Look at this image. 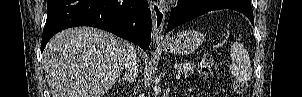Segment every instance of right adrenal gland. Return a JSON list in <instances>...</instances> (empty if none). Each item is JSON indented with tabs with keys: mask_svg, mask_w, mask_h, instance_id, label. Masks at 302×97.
<instances>
[{
	"mask_svg": "<svg viewBox=\"0 0 302 97\" xmlns=\"http://www.w3.org/2000/svg\"><path fill=\"white\" fill-rule=\"evenodd\" d=\"M119 81H123L124 83H126V85H128L132 82V79L129 73H125L123 77L119 78Z\"/></svg>",
	"mask_w": 302,
	"mask_h": 97,
	"instance_id": "right-adrenal-gland-1",
	"label": "right adrenal gland"
}]
</instances>
